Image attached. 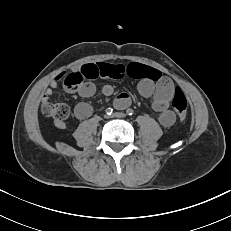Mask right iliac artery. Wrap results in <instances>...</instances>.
Instances as JSON below:
<instances>
[{
	"instance_id": "82829eb1",
	"label": "right iliac artery",
	"mask_w": 231,
	"mask_h": 231,
	"mask_svg": "<svg viewBox=\"0 0 231 231\" xmlns=\"http://www.w3.org/2000/svg\"><path fill=\"white\" fill-rule=\"evenodd\" d=\"M112 112H113V109H112V108H107V109H106V113H107L108 115H111Z\"/></svg>"
}]
</instances>
